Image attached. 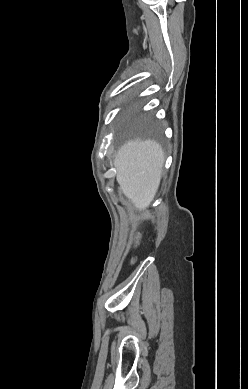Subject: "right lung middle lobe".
Instances as JSON below:
<instances>
[{"mask_svg": "<svg viewBox=\"0 0 248 389\" xmlns=\"http://www.w3.org/2000/svg\"><path fill=\"white\" fill-rule=\"evenodd\" d=\"M138 129V133L141 135V136H146V137H149V136H153L156 134L155 130L145 124H142V125H139L137 127Z\"/></svg>", "mask_w": 248, "mask_h": 389, "instance_id": "obj_1", "label": "right lung middle lobe"}]
</instances>
